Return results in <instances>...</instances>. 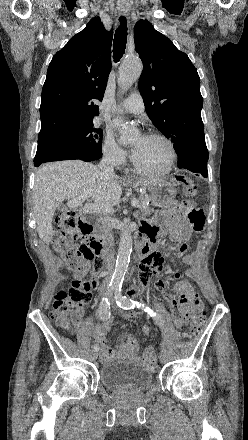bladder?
Here are the masks:
<instances>
[{
	"label": "bladder",
	"mask_w": 248,
	"mask_h": 440,
	"mask_svg": "<svg viewBox=\"0 0 248 440\" xmlns=\"http://www.w3.org/2000/svg\"><path fill=\"white\" fill-rule=\"evenodd\" d=\"M99 380L111 390L143 391L152 385L153 371L138 362L117 359L101 365Z\"/></svg>",
	"instance_id": "bladder-1"
}]
</instances>
